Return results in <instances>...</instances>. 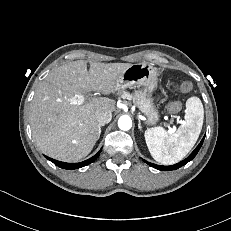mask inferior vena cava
Here are the masks:
<instances>
[{
    "mask_svg": "<svg viewBox=\"0 0 231 231\" xmlns=\"http://www.w3.org/2000/svg\"><path fill=\"white\" fill-rule=\"evenodd\" d=\"M98 125H105L109 123L112 119V113L109 110L100 109L95 113Z\"/></svg>",
    "mask_w": 231,
    "mask_h": 231,
    "instance_id": "inferior-vena-cava-1",
    "label": "inferior vena cava"
}]
</instances>
